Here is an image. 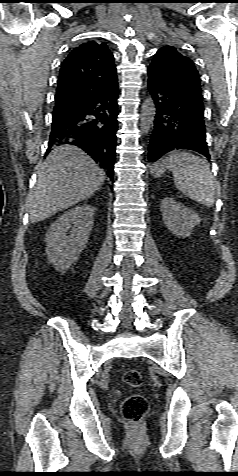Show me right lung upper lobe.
<instances>
[{
    "label": "right lung upper lobe",
    "mask_w": 238,
    "mask_h": 476,
    "mask_svg": "<svg viewBox=\"0 0 238 476\" xmlns=\"http://www.w3.org/2000/svg\"><path fill=\"white\" fill-rule=\"evenodd\" d=\"M113 60L103 42L90 41L74 48L61 64L54 111L81 107L116 84Z\"/></svg>",
    "instance_id": "obj_1"
}]
</instances>
